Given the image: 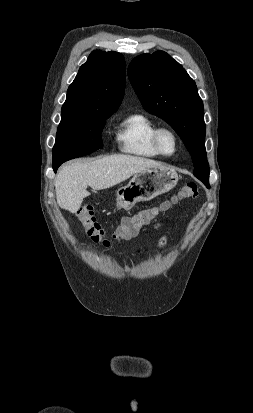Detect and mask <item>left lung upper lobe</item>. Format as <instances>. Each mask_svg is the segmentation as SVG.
Segmentation results:
<instances>
[{
    "instance_id": "1",
    "label": "left lung upper lobe",
    "mask_w": 253,
    "mask_h": 413,
    "mask_svg": "<svg viewBox=\"0 0 253 413\" xmlns=\"http://www.w3.org/2000/svg\"><path fill=\"white\" fill-rule=\"evenodd\" d=\"M128 76L144 109L165 120L183 140L194 176L209 182L204 107L194 80L164 51L134 58Z\"/></svg>"
}]
</instances>
